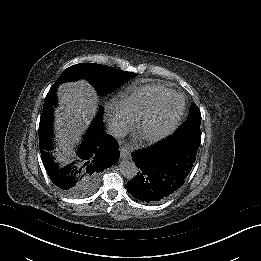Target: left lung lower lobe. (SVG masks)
I'll list each match as a JSON object with an SVG mask.
<instances>
[{
    "label": "left lung lower lobe",
    "mask_w": 261,
    "mask_h": 261,
    "mask_svg": "<svg viewBox=\"0 0 261 261\" xmlns=\"http://www.w3.org/2000/svg\"><path fill=\"white\" fill-rule=\"evenodd\" d=\"M199 145L174 133L149 148L132 153L139 172L127 184L128 191L147 203L169 198L189 175Z\"/></svg>",
    "instance_id": "1"
}]
</instances>
